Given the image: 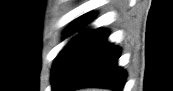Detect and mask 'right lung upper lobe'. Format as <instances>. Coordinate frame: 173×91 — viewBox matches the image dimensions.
<instances>
[{"label": "right lung upper lobe", "instance_id": "1", "mask_svg": "<svg viewBox=\"0 0 173 91\" xmlns=\"http://www.w3.org/2000/svg\"><path fill=\"white\" fill-rule=\"evenodd\" d=\"M94 18V14H85L80 18L76 19L73 24H80L85 25L86 23L90 22Z\"/></svg>", "mask_w": 173, "mask_h": 91}]
</instances>
